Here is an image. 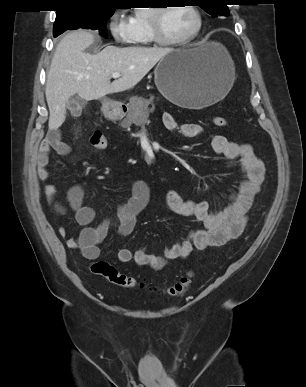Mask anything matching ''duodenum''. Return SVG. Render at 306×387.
Segmentation results:
<instances>
[{"instance_id":"duodenum-1","label":"duodenum","mask_w":306,"mask_h":387,"mask_svg":"<svg viewBox=\"0 0 306 387\" xmlns=\"http://www.w3.org/2000/svg\"><path fill=\"white\" fill-rule=\"evenodd\" d=\"M125 112H126L125 110H122V111H121V114H125Z\"/></svg>"}]
</instances>
